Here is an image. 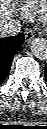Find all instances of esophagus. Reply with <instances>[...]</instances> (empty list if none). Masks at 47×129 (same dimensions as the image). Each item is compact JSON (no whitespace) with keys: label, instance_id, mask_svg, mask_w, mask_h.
<instances>
[{"label":"esophagus","instance_id":"obj_1","mask_svg":"<svg viewBox=\"0 0 47 129\" xmlns=\"http://www.w3.org/2000/svg\"><path fill=\"white\" fill-rule=\"evenodd\" d=\"M34 32L32 31V30H27L26 32H25V41L27 42V43H29V42H31L33 39H34Z\"/></svg>","mask_w":47,"mask_h":129}]
</instances>
